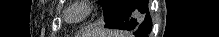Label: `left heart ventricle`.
Listing matches in <instances>:
<instances>
[{"label": "left heart ventricle", "mask_w": 219, "mask_h": 37, "mask_svg": "<svg viewBox=\"0 0 219 37\" xmlns=\"http://www.w3.org/2000/svg\"><path fill=\"white\" fill-rule=\"evenodd\" d=\"M81 14V10L79 8H76L74 9L72 12H71V16L72 17H77Z\"/></svg>", "instance_id": "left-heart-ventricle-1"}]
</instances>
